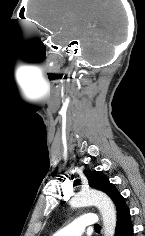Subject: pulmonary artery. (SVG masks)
<instances>
[{"label": "pulmonary artery", "instance_id": "1", "mask_svg": "<svg viewBox=\"0 0 145 236\" xmlns=\"http://www.w3.org/2000/svg\"><path fill=\"white\" fill-rule=\"evenodd\" d=\"M98 223V218L96 215L87 213L84 214L67 226L61 228L55 232L54 236H81L86 227L95 226Z\"/></svg>", "mask_w": 145, "mask_h": 236}]
</instances>
